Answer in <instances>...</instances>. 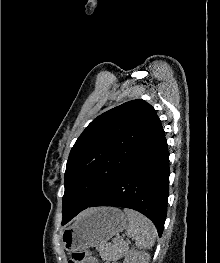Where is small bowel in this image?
Instances as JSON below:
<instances>
[{"instance_id":"small-bowel-1","label":"small bowel","mask_w":220,"mask_h":263,"mask_svg":"<svg viewBox=\"0 0 220 263\" xmlns=\"http://www.w3.org/2000/svg\"><path fill=\"white\" fill-rule=\"evenodd\" d=\"M85 263H98V261L96 260V258L91 257Z\"/></svg>"}]
</instances>
